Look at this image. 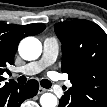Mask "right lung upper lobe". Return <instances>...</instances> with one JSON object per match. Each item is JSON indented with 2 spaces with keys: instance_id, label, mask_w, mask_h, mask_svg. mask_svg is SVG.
Returning <instances> with one entry per match:
<instances>
[{
  "instance_id": "cb5924a9",
  "label": "right lung upper lobe",
  "mask_w": 107,
  "mask_h": 107,
  "mask_svg": "<svg viewBox=\"0 0 107 107\" xmlns=\"http://www.w3.org/2000/svg\"><path fill=\"white\" fill-rule=\"evenodd\" d=\"M44 24L14 25L0 23V81L5 80L1 75L8 71L5 67L14 63V55L20 40L33 36L45 29ZM6 84V83H5Z\"/></svg>"
}]
</instances>
